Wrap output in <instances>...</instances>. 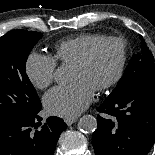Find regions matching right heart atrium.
Wrapping results in <instances>:
<instances>
[{
  "label": "right heart atrium",
  "mask_w": 155,
  "mask_h": 155,
  "mask_svg": "<svg viewBox=\"0 0 155 155\" xmlns=\"http://www.w3.org/2000/svg\"><path fill=\"white\" fill-rule=\"evenodd\" d=\"M56 60L49 55L31 52L25 62V73L30 83L38 88L48 87L54 80Z\"/></svg>",
  "instance_id": "d8ad5b80"
}]
</instances>
